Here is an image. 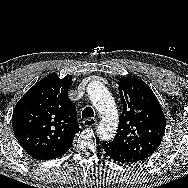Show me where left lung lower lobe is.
Masks as SVG:
<instances>
[{
  "instance_id": "0a47b994",
  "label": "left lung lower lobe",
  "mask_w": 188,
  "mask_h": 188,
  "mask_svg": "<svg viewBox=\"0 0 188 188\" xmlns=\"http://www.w3.org/2000/svg\"><path fill=\"white\" fill-rule=\"evenodd\" d=\"M103 148L106 155L116 162L121 163H136L145 160L142 156L134 153L131 150L125 149L114 142H103Z\"/></svg>"
}]
</instances>
